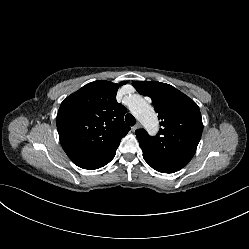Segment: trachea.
Returning <instances> with one entry per match:
<instances>
[{"instance_id":"trachea-1","label":"trachea","mask_w":249,"mask_h":249,"mask_svg":"<svg viewBox=\"0 0 249 249\" xmlns=\"http://www.w3.org/2000/svg\"><path fill=\"white\" fill-rule=\"evenodd\" d=\"M125 121L129 126H134L136 123V119L131 114H126Z\"/></svg>"}]
</instances>
